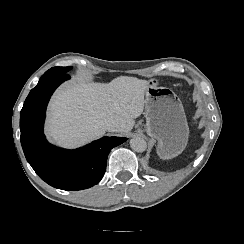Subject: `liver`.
I'll list each match as a JSON object with an SVG mask.
<instances>
[{
  "mask_svg": "<svg viewBox=\"0 0 244 244\" xmlns=\"http://www.w3.org/2000/svg\"><path fill=\"white\" fill-rule=\"evenodd\" d=\"M148 86V81L128 76L110 83H66L51 99L45 133L51 142L66 148L104 135V121L117 122V132L127 133L143 112Z\"/></svg>",
  "mask_w": 244,
  "mask_h": 244,
  "instance_id": "1",
  "label": "liver"
}]
</instances>
